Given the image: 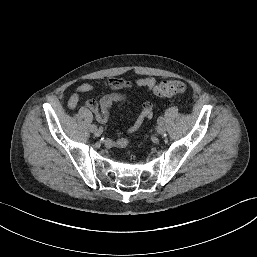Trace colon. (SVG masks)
<instances>
[{"label":"colon","mask_w":257,"mask_h":257,"mask_svg":"<svg viewBox=\"0 0 257 257\" xmlns=\"http://www.w3.org/2000/svg\"><path fill=\"white\" fill-rule=\"evenodd\" d=\"M186 90L185 84L180 80H167L155 86L154 93L156 96L165 98L177 94H182Z\"/></svg>","instance_id":"1"}]
</instances>
